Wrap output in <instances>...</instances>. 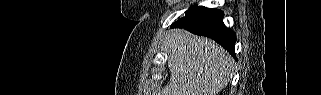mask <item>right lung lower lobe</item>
Returning a JSON list of instances; mask_svg holds the SVG:
<instances>
[{"instance_id": "right-lung-lower-lobe-1", "label": "right lung lower lobe", "mask_w": 321, "mask_h": 95, "mask_svg": "<svg viewBox=\"0 0 321 95\" xmlns=\"http://www.w3.org/2000/svg\"><path fill=\"white\" fill-rule=\"evenodd\" d=\"M223 17L224 13L221 10L204 8L197 13L179 19L171 27L185 28L194 34L207 36L235 57L236 35L224 25Z\"/></svg>"}]
</instances>
